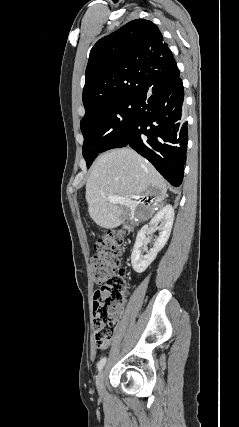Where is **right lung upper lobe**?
<instances>
[{"instance_id": "cb5924a9", "label": "right lung upper lobe", "mask_w": 239, "mask_h": 427, "mask_svg": "<svg viewBox=\"0 0 239 427\" xmlns=\"http://www.w3.org/2000/svg\"><path fill=\"white\" fill-rule=\"evenodd\" d=\"M179 74L158 27L136 19L101 38L91 49L85 74V111L107 100L136 98Z\"/></svg>"}]
</instances>
